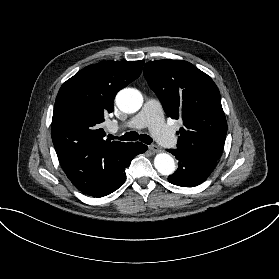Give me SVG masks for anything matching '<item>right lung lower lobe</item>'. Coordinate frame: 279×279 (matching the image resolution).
Segmentation results:
<instances>
[{
	"mask_svg": "<svg viewBox=\"0 0 279 279\" xmlns=\"http://www.w3.org/2000/svg\"><path fill=\"white\" fill-rule=\"evenodd\" d=\"M147 150V146L136 142L134 143L132 150H131V154L130 156L127 158V160L125 161V163L123 164V166L119 169V171L114 175V177L95 195H93V197H103L106 196L112 192H114L115 190H117L124 182L126 179V175H125V168L127 166H129V164L131 163V160L134 158L135 155L143 153Z\"/></svg>",
	"mask_w": 279,
	"mask_h": 279,
	"instance_id": "right-lung-lower-lobe-1",
	"label": "right lung lower lobe"
}]
</instances>
